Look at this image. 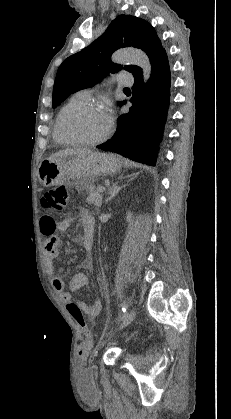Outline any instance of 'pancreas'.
I'll return each mask as SVG.
<instances>
[{"mask_svg": "<svg viewBox=\"0 0 231 419\" xmlns=\"http://www.w3.org/2000/svg\"><path fill=\"white\" fill-rule=\"evenodd\" d=\"M98 188L90 187L86 198V202L88 204H93L97 208H99L102 204V195L100 194Z\"/></svg>", "mask_w": 231, "mask_h": 419, "instance_id": "cf45deb5", "label": "pancreas"}]
</instances>
